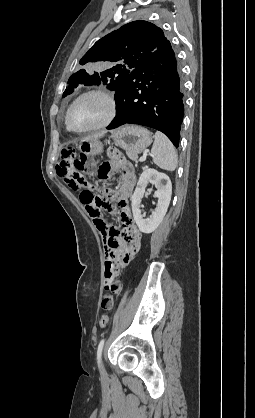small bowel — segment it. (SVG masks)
<instances>
[{
  "mask_svg": "<svg viewBox=\"0 0 255 418\" xmlns=\"http://www.w3.org/2000/svg\"><path fill=\"white\" fill-rule=\"evenodd\" d=\"M107 154L108 162L101 166L99 174L100 176H106L112 172L120 174V188L109 191V196L118 204L119 216L123 227L119 229L118 227H109L107 225L106 230L103 231L98 228L97 223L94 221L104 240L102 247L105 254V291L102 292L101 298L100 308L102 311L113 310L114 302L118 300V292L121 289V282L115 280L123 278L124 269H127L131 261L135 260L141 247L140 228H124L132 223L129 199L136 183L134 171L124 161L121 147H108ZM109 207L112 206L110 205Z\"/></svg>",
  "mask_w": 255,
  "mask_h": 418,
  "instance_id": "c3829d8e",
  "label": "small bowel"
}]
</instances>
